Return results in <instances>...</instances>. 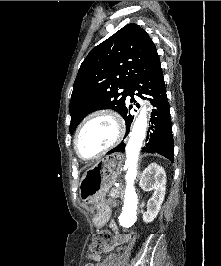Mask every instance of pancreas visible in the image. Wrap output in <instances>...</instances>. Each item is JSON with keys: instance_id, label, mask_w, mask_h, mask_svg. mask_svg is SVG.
Listing matches in <instances>:
<instances>
[{"instance_id": "obj_1", "label": "pancreas", "mask_w": 221, "mask_h": 266, "mask_svg": "<svg viewBox=\"0 0 221 266\" xmlns=\"http://www.w3.org/2000/svg\"><path fill=\"white\" fill-rule=\"evenodd\" d=\"M120 195V187L112 188L109 193V197L117 198Z\"/></svg>"}]
</instances>
